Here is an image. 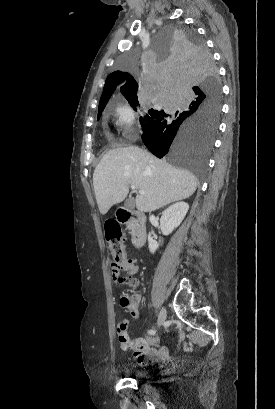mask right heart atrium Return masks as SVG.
Instances as JSON below:
<instances>
[{
    "label": "right heart atrium",
    "instance_id": "right-heart-atrium-1",
    "mask_svg": "<svg viewBox=\"0 0 275 409\" xmlns=\"http://www.w3.org/2000/svg\"><path fill=\"white\" fill-rule=\"evenodd\" d=\"M117 125L121 130V140L118 143H134L136 140L137 113L129 104H123L116 110Z\"/></svg>",
    "mask_w": 275,
    "mask_h": 409
}]
</instances>
